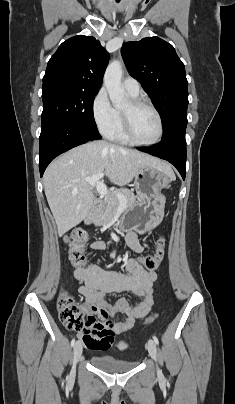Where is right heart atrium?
<instances>
[{
    "mask_svg": "<svg viewBox=\"0 0 235 404\" xmlns=\"http://www.w3.org/2000/svg\"><path fill=\"white\" fill-rule=\"evenodd\" d=\"M91 111L99 131L104 135L110 133L116 123L117 111L112 106L104 89H100L94 97Z\"/></svg>",
    "mask_w": 235,
    "mask_h": 404,
    "instance_id": "right-heart-atrium-1",
    "label": "right heart atrium"
}]
</instances>
